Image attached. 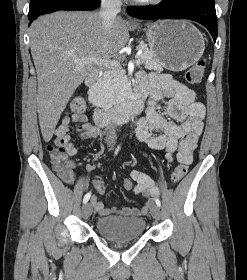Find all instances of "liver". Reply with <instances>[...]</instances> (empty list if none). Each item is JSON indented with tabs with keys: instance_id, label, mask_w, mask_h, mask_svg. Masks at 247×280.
Masks as SVG:
<instances>
[{
	"instance_id": "obj_1",
	"label": "liver",
	"mask_w": 247,
	"mask_h": 280,
	"mask_svg": "<svg viewBox=\"0 0 247 280\" xmlns=\"http://www.w3.org/2000/svg\"><path fill=\"white\" fill-rule=\"evenodd\" d=\"M129 39L121 19L105 29L97 12H55L30 26L31 54L37 73V111L41 133L50 141L55 127L75 90L95 71L83 58L107 59Z\"/></svg>"
}]
</instances>
